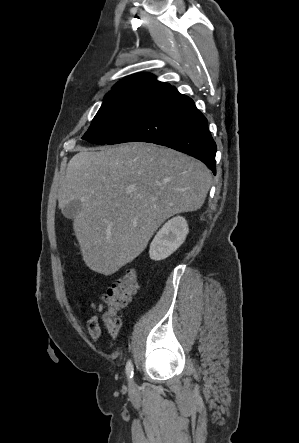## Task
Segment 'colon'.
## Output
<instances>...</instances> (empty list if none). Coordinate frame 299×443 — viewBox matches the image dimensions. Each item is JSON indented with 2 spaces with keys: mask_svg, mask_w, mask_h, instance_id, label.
Segmentation results:
<instances>
[{
  "mask_svg": "<svg viewBox=\"0 0 299 443\" xmlns=\"http://www.w3.org/2000/svg\"><path fill=\"white\" fill-rule=\"evenodd\" d=\"M137 289V272L134 269H127L103 295L106 310L102 314V321L109 333H118L121 321L117 312L126 307Z\"/></svg>",
  "mask_w": 299,
  "mask_h": 443,
  "instance_id": "1",
  "label": "colon"
}]
</instances>
